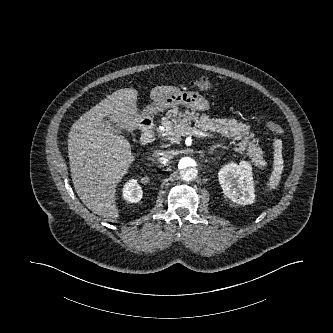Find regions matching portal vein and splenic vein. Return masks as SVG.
<instances>
[{"instance_id": "obj_1", "label": "portal vein and splenic vein", "mask_w": 333, "mask_h": 333, "mask_svg": "<svg viewBox=\"0 0 333 333\" xmlns=\"http://www.w3.org/2000/svg\"><path fill=\"white\" fill-rule=\"evenodd\" d=\"M190 136L192 135H195L199 138H216V136H214L213 134L211 133H207V132H203V131H200L198 129H192L189 133Z\"/></svg>"}]
</instances>
